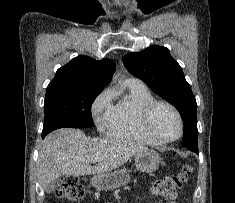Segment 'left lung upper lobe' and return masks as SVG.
Masks as SVG:
<instances>
[{"label":"left lung upper lobe","instance_id":"obj_1","mask_svg":"<svg viewBox=\"0 0 235 203\" xmlns=\"http://www.w3.org/2000/svg\"><path fill=\"white\" fill-rule=\"evenodd\" d=\"M127 70L143 80L152 91L174 105L182 117L184 130L192 134L191 151L198 149L197 104L180 65L171 57L168 48L152 45L140 52L123 57Z\"/></svg>","mask_w":235,"mask_h":203}]
</instances>
